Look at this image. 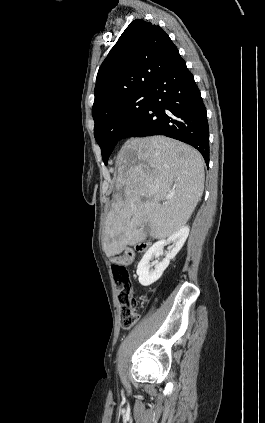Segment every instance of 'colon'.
<instances>
[{
    "label": "colon",
    "mask_w": 265,
    "mask_h": 423,
    "mask_svg": "<svg viewBox=\"0 0 265 423\" xmlns=\"http://www.w3.org/2000/svg\"><path fill=\"white\" fill-rule=\"evenodd\" d=\"M149 247V243H138L134 249H126L120 255L114 257L112 273L118 287V301L120 304V324L124 329L131 328L138 319V301L133 295L130 274L127 266L135 258V252H143Z\"/></svg>",
    "instance_id": "1"
}]
</instances>
